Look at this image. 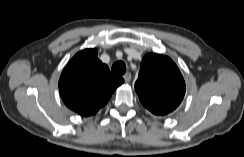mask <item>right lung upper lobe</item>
<instances>
[{
  "label": "right lung upper lobe",
  "mask_w": 244,
  "mask_h": 157,
  "mask_svg": "<svg viewBox=\"0 0 244 157\" xmlns=\"http://www.w3.org/2000/svg\"><path fill=\"white\" fill-rule=\"evenodd\" d=\"M124 82L110 73L97 58L96 49L78 52L64 68L59 92L64 103L82 116H90L106 105L115 89Z\"/></svg>",
  "instance_id": "cb5924a9"
}]
</instances>
